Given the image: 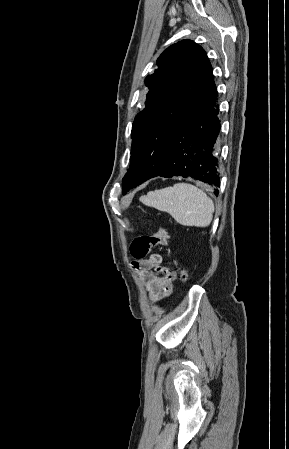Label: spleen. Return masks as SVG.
Here are the masks:
<instances>
[{"label": "spleen", "instance_id": "3e777b00", "mask_svg": "<svg viewBox=\"0 0 289 449\" xmlns=\"http://www.w3.org/2000/svg\"><path fill=\"white\" fill-rule=\"evenodd\" d=\"M146 206L169 213L184 226L207 227L213 217L214 204L201 189L188 183H176L140 198Z\"/></svg>", "mask_w": 289, "mask_h": 449}]
</instances>
